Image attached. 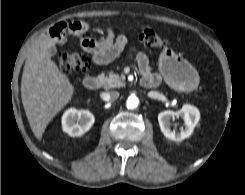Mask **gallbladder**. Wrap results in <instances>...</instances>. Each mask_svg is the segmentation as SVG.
Listing matches in <instances>:
<instances>
[{"instance_id": "1", "label": "gallbladder", "mask_w": 245, "mask_h": 195, "mask_svg": "<svg viewBox=\"0 0 245 195\" xmlns=\"http://www.w3.org/2000/svg\"><path fill=\"white\" fill-rule=\"evenodd\" d=\"M50 54L53 56L56 54V50L53 48V49H50Z\"/></svg>"}]
</instances>
